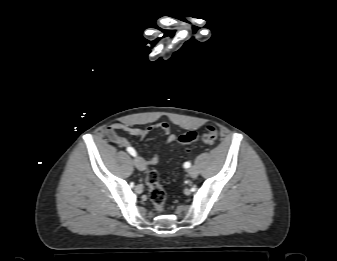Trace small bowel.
<instances>
[{
    "label": "small bowel",
    "mask_w": 337,
    "mask_h": 261,
    "mask_svg": "<svg viewBox=\"0 0 337 261\" xmlns=\"http://www.w3.org/2000/svg\"><path fill=\"white\" fill-rule=\"evenodd\" d=\"M154 130H160L161 132H163L166 135V143H172L175 139L176 136L175 134L171 133L170 127L167 123H160L157 125H152V126H148L145 128H139V127H135L132 125H127V124H120V123H114L112 125L107 126L104 129V134L107 136V138L113 142L114 144H116L117 146L121 147V148H129L131 147L128 140L121 136L119 134L120 131H124L127 132L128 134H130L133 137L139 138V139H143L144 137H146L150 132L154 131ZM143 159V158H142ZM146 165H153L156 164L159 161V156L157 154L150 156L147 159H143Z\"/></svg>",
    "instance_id": "c3829d8e"
}]
</instances>
